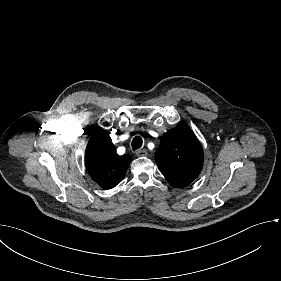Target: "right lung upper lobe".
<instances>
[{"label": "right lung upper lobe", "mask_w": 281, "mask_h": 281, "mask_svg": "<svg viewBox=\"0 0 281 281\" xmlns=\"http://www.w3.org/2000/svg\"><path fill=\"white\" fill-rule=\"evenodd\" d=\"M85 163L92 179L104 189L114 188L125 177L129 156H119L109 132L96 128L86 148Z\"/></svg>", "instance_id": "right-lung-upper-lobe-1"}]
</instances>
